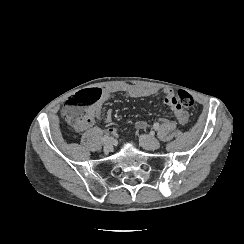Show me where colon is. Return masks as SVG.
<instances>
[{"mask_svg": "<svg viewBox=\"0 0 244 244\" xmlns=\"http://www.w3.org/2000/svg\"><path fill=\"white\" fill-rule=\"evenodd\" d=\"M171 104L188 108L194 105V99L186 90H178L171 98ZM65 111L69 123L75 129L83 128L91 121L90 117L86 114L85 108L72 104L71 101H68Z\"/></svg>", "mask_w": 244, "mask_h": 244, "instance_id": "1", "label": "colon"}]
</instances>
